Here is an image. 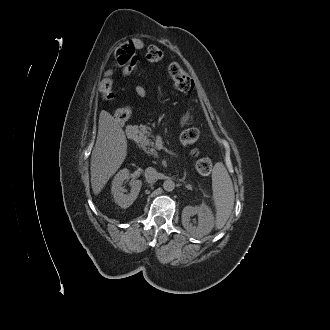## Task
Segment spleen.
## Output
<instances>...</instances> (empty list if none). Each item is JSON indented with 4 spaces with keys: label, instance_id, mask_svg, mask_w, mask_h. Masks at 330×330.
I'll return each mask as SVG.
<instances>
[{
    "label": "spleen",
    "instance_id": "obj_1",
    "mask_svg": "<svg viewBox=\"0 0 330 330\" xmlns=\"http://www.w3.org/2000/svg\"><path fill=\"white\" fill-rule=\"evenodd\" d=\"M213 200L216 208V229L224 227L234 206L235 194L232 180L222 162H217L212 171Z\"/></svg>",
    "mask_w": 330,
    "mask_h": 330
}]
</instances>
